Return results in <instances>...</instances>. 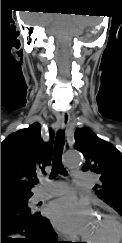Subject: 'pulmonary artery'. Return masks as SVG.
<instances>
[{
  "label": "pulmonary artery",
  "instance_id": "1",
  "mask_svg": "<svg viewBox=\"0 0 122 243\" xmlns=\"http://www.w3.org/2000/svg\"><path fill=\"white\" fill-rule=\"evenodd\" d=\"M76 181L84 185L90 180V175L86 172L75 170L73 171ZM67 184L62 181H52L49 186L41 188L35 195L36 200H43L51 196L60 195L67 191Z\"/></svg>",
  "mask_w": 122,
  "mask_h": 243
}]
</instances>
